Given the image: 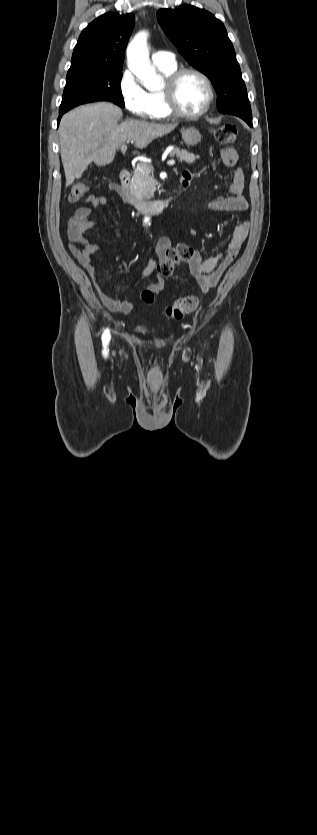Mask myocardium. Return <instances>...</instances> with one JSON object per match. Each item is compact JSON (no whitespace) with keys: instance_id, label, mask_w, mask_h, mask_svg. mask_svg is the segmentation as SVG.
Here are the masks:
<instances>
[{"instance_id":"obj_1","label":"myocardium","mask_w":317,"mask_h":835,"mask_svg":"<svg viewBox=\"0 0 317 835\" xmlns=\"http://www.w3.org/2000/svg\"><path fill=\"white\" fill-rule=\"evenodd\" d=\"M187 74H194V75H197L198 77H200L203 80V82L205 83V86H206L207 91H208V97L206 99V102H205L204 106L199 111H197L196 113H192V114L186 113L183 110H181V108L178 105L177 97H176L179 82ZM163 93H164V97H165L167 106H168L171 114L173 116H175L177 118H181V119H196V118H199V117L203 116L205 113L208 112V110L210 109V107H211V105L214 101V98H215L214 87H213L212 81L209 78V76L207 74H205L203 71H201L197 68H193V67H185V68L176 69L173 73H171L166 78V82H165V85L163 87Z\"/></svg>"}]
</instances>
